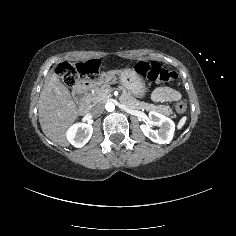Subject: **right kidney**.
Masks as SVG:
<instances>
[{
	"instance_id": "obj_1",
	"label": "right kidney",
	"mask_w": 236,
	"mask_h": 236,
	"mask_svg": "<svg viewBox=\"0 0 236 236\" xmlns=\"http://www.w3.org/2000/svg\"><path fill=\"white\" fill-rule=\"evenodd\" d=\"M93 127L86 123L76 124L71 127L67 133V137L71 144L75 147H83L91 138Z\"/></svg>"
}]
</instances>
